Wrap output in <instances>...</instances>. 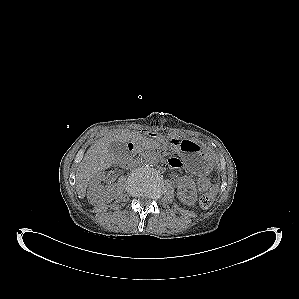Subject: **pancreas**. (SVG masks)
<instances>
[{
  "label": "pancreas",
  "instance_id": "pancreas-1",
  "mask_svg": "<svg viewBox=\"0 0 299 299\" xmlns=\"http://www.w3.org/2000/svg\"><path fill=\"white\" fill-rule=\"evenodd\" d=\"M136 144L139 148L154 147L156 145V143L153 140L142 136L136 139Z\"/></svg>",
  "mask_w": 299,
  "mask_h": 299
}]
</instances>
